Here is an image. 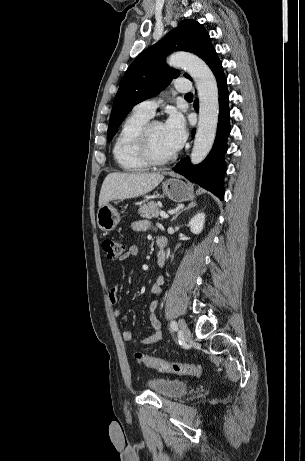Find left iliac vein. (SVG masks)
Listing matches in <instances>:
<instances>
[{
	"instance_id": "4c4485c4",
	"label": "left iliac vein",
	"mask_w": 305,
	"mask_h": 461,
	"mask_svg": "<svg viewBox=\"0 0 305 461\" xmlns=\"http://www.w3.org/2000/svg\"><path fill=\"white\" fill-rule=\"evenodd\" d=\"M180 336L183 340H188L191 337V332L183 319L179 320Z\"/></svg>"
}]
</instances>
